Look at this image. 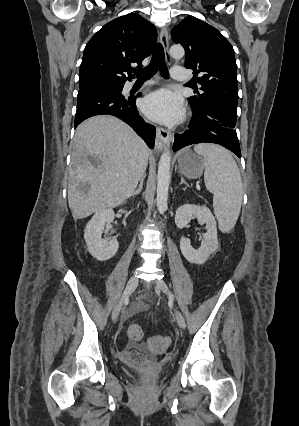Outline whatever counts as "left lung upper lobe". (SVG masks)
Returning a JSON list of instances; mask_svg holds the SVG:
<instances>
[{"mask_svg": "<svg viewBox=\"0 0 299 426\" xmlns=\"http://www.w3.org/2000/svg\"><path fill=\"white\" fill-rule=\"evenodd\" d=\"M172 40L186 52L185 67L193 70L202 92L189 98L197 109L223 107L237 115L238 88L234 50L214 27L188 16L171 31Z\"/></svg>", "mask_w": 299, "mask_h": 426, "instance_id": "left-lung-upper-lobe-1", "label": "left lung upper lobe"}]
</instances>
